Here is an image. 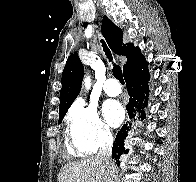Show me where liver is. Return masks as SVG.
Returning <instances> with one entry per match:
<instances>
[{"label": "liver", "mask_w": 196, "mask_h": 182, "mask_svg": "<svg viewBox=\"0 0 196 182\" xmlns=\"http://www.w3.org/2000/svg\"><path fill=\"white\" fill-rule=\"evenodd\" d=\"M115 169L110 167V174ZM108 171L102 160L90 157L86 160L64 165L59 173L57 182H109Z\"/></svg>", "instance_id": "1"}]
</instances>
